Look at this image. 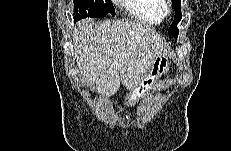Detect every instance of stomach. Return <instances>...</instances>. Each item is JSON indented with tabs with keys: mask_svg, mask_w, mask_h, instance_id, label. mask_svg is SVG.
Returning <instances> with one entry per match:
<instances>
[{
	"mask_svg": "<svg viewBox=\"0 0 231 151\" xmlns=\"http://www.w3.org/2000/svg\"><path fill=\"white\" fill-rule=\"evenodd\" d=\"M170 66L167 55H159L155 58L151 68L141 83L130 91L126 97V104L134 106L147 93L156 89L159 78L165 74Z\"/></svg>",
	"mask_w": 231,
	"mask_h": 151,
	"instance_id": "0dacf381",
	"label": "stomach"
}]
</instances>
